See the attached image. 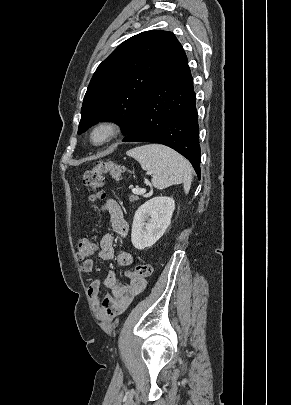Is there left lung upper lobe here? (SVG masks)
Segmentation results:
<instances>
[{
    "label": "left lung upper lobe",
    "instance_id": "left-lung-upper-lobe-1",
    "mask_svg": "<svg viewBox=\"0 0 291 405\" xmlns=\"http://www.w3.org/2000/svg\"><path fill=\"white\" fill-rule=\"evenodd\" d=\"M183 50L168 31H146L120 44L95 71L81 109L78 134L100 120L134 128L143 99Z\"/></svg>",
    "mask_w": 291,
    "mask_h": 405
}]
</instances>
